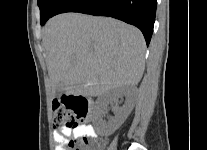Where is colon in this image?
I'll return each instance as SVG.
<instances>
[{
    "label": "colon",
    "instance_id": "5ec220e1",
    "mask_svg": "<svg viewBox=\"0 0 207 150\" xmlns=\"http://www.w3.org/2000/svg\"><path fill=\"white\" fill-rule=\"evenodd\" d=\"M88 112V100L75 96L68 100H55L52 105L53 125L56 127L76 128L85 121ZM62 150H99L100 143L82 138L80 142L69 140L61 144Z\"/></svg>",
    "mask_w": 207,
    "mask_h": 150
}]
</instances>
